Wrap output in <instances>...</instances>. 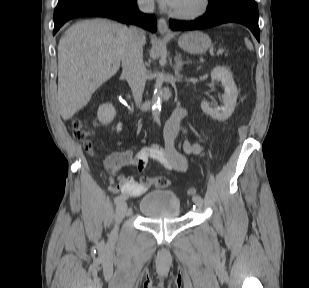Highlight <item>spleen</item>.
<instances>
[{
    "instance_id": "obj_1",
    "label": "spleen",
    "mask_w": 309,
    "mask_h": 288,
    "mask_svg": "<svg viewBox=\"0 0 309 288\" xmlns=\"http://www.w3.org/2000/svg\"><path fill=\"white\" fill-rule=\"evenodd\" d=\"M245 43H246V46H247L248 49H250V50L253 49L252 44L247 39L245 40Z\"/></svg>"
}]
</instances>
